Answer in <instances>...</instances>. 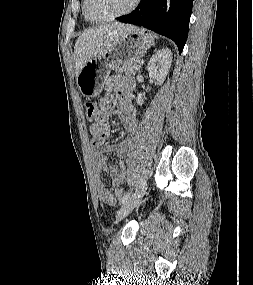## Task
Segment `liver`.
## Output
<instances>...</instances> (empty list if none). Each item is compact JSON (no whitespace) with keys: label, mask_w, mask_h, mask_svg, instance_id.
<instances>
[{"label":"liver","mask_w":253,"mask_h":285,"mask_svg":"<svg viewBox=\"0 0 253 285\" xmlns=\"http://www.w3.org/2000/svg\"><path fill=\"white\" fill-rule=\"evenodd\" d=\"M134 26L121 23L103 24L84 31L74 46L76 76L92 58L104 52Z\"/></svg>","instance_id":"obj_1"}]
</instances>
